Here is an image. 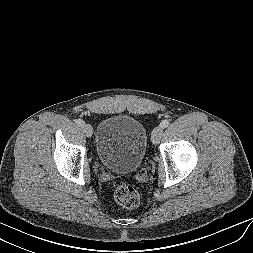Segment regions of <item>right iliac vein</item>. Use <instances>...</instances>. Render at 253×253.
Listing matches in <instances>:
<instances>
[{"label": "right iliac vein", "instance_id": "63e3f726", "mask_svg": "<svg viewBox=\"0 0 253 253\" xmlns=\"http://www.w3.org/2000/svg\"><path fill=\"white\" fill-rule=\"evenodd\" d=\"M82 130L87 137H91L93 135V128L89 124H83Z\"/></svg>", "mask_w": 253, "mask_h": 253}]
</instances>
